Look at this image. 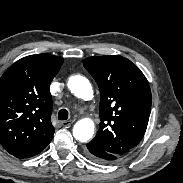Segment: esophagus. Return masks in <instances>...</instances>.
<instances>
[{"instance_id":"esophagus-1","label":"esophagus","mask_w":183,"mask_h":183,"mask_svg":"<svg viewBox=\"0 0 183 183\" xmlns=\"http://www.w3.org/2000/svg\"><path fill=\"white\" fill-rule=\"evenodd\" d=\"M73 123H74V120L71 119V120H67V121H62L60 124H61L63 127H69V126H71Z\"/></svg>"}]
</instances>
